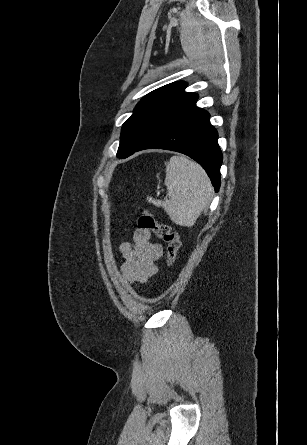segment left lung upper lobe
<instances>
[{
  "mask_svg": "<svg viewBox=\"0 0 307 445\" xmlns=\"http://www.w3.org/2000/svg\"><path fill=\"white\" fill-rule=\"evenodd\" d=\"M184 82L158 88L137 104L123 124L117 156L126 158L164 126L196 107L197 94L185 93Z\"/></svg>",
  "mask_w": 307,
  "mask_h": 445,
  "instance_id": "1",
  "label": "left lung upper lobe"
}]
</instances>
